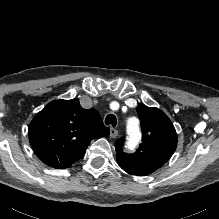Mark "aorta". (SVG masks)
<instances>
[{
    "label": "aorta",
    "mask_w": 219,
    "mask_h": 219,
    "mask_svg": "<svg viewBox=\"0 0 219 219\" xmlns=\"http://www.w3.org/2000/svg\"><path fill=\"white\" fill-rule=\"evenodd\" d=\"M129 130H130L129 145L130 147H135L139 143L141 136L138 124L130 125Z\"/></svg>",
    "instance_id": "aorta-1"
}]
</instances>
